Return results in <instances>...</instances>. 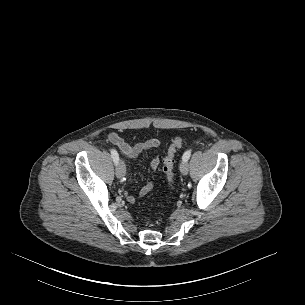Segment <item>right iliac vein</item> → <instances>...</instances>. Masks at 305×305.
I'll use <instances>...</instances> for the list:
<instances>
[{
	"label": "right iliac vein",
	"instance_id": "right-iliac-vein-1",
	"mask_svg": "<svg viewBox=\"0 0 305 305\" xmlns=\"http://www.w3.org/2000/svg\"><path fill=\"white\" fill-rule=\"evenodd\" d=\"M125 173H126L125 164L122 160H120L117 164V167H116V176L119 179H122L125 176Z\"/></svg>",
	"mask_w": 305,
	"mask_h": 305
}]
</instances>
